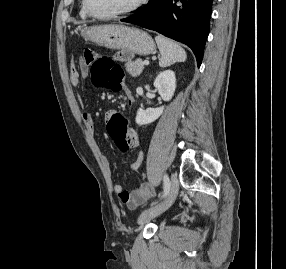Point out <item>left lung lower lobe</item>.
<instances>
[{"label": "left lung lower lobe", "mask_w": 286, "mask_h": 269, "mask_svg": "<svg viewBox=\"0 0 286 269\" xmlns=\"http://www.w3.org/2000/svg\"><path fill=\"white\" fill-rule=\"evenodd\" d=\"M179 0H149L135 15L122 19L188 45L201 65L205 41L209 34L212 0H189L180 9Z\"/></svg>", "instance_id": "1"}]
</instances>
